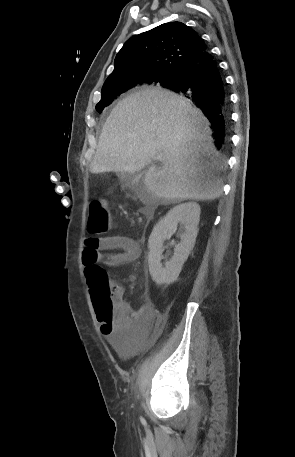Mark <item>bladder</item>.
<instances>
[{"instance_id":"31cf9c89","label":"bladder","mask_w":295,"mask_h":457,"mask_svg":"<svg viewBox=\"0 0 295 457\" xmlns=\"http://www.w3.org/2000/svg\"><path fill=\"white\" fill-rule=\"evenodd\" d=\"M107 347H117V356H140L142 338H107Z\"/></svg>"}]
</instances>
